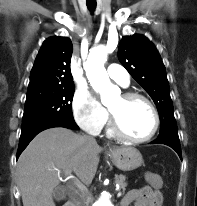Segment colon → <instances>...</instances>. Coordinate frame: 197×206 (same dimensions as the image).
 Wrapping results in <instances>:
<instances>
[{
  "label": "colon",
  "instance_id": "5ec220e1",
  "mask_svg": "<svg viewBox=\"0 0 197 206\" xmlns=\"http://www.w3.org/2000/svg\"><path fill=\"white\" fill-rule=\"evenodd\" d=\"M150 183L153 188H159L161 185V179L158 175L156 174H151L149 177Z\"/></svg>",
  "mask_w": 197,
  "mask_h": 206
}]
</instances>
